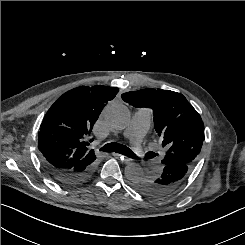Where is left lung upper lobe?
Returning <instances> with one entry per match:
<instances>
[{
	"label": "left lung upper lobe",
	"mask_w": 245,
	"mask_h": 245,
	"mask_svg": "<svg viewBox=\"0 0 245 245\" xmlns=\"http://www.w3.org/2000/svg\"><path fill=\"white\" fill-rule=\"evenodd\" d=\"M130 105L153 109L154 125L166 154L162 164L186 162L192 165L200 153L204 124L200 115L180 93L162 89H142L121 95Z\"/></svg>",
	"instance_id": "left-lung-upper-lobe-1"
}]
</instances>
